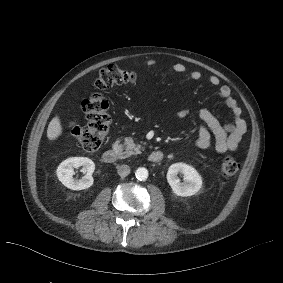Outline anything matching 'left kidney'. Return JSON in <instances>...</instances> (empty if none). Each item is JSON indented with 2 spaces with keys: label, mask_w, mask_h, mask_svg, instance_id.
I'll return each instance as SVG.
<instances>
[{
  "label": "left kidney",
  "mask_w": 283,
  "mask_h": 283,
  "mask_svg": "<svg viewBox=\"0 0 283 283\" xmlns=\"http://www.w3.org/2000/svg\"><path fill=\"white\" fill-rule=\"evenodd\" d=\"M178 174H183V182L180 181ZM167 181L173 192L182 197L196 194L202 186V178L197 170L185 163L170 165L167 172Z\"/></svg>",
  "instance_id": "1"
}]
</instances>
